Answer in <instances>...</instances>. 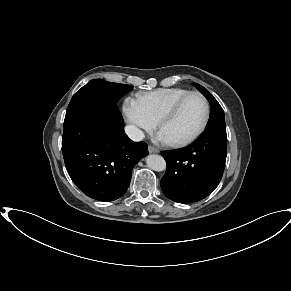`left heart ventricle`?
I'll use <instances>...</instances> for the list:
<instances>
[{
  "label": "left heart ventricle",
  "mask_w": 291,
  "mask_h": 291,
  "mask_svg": "<svg viewBox=\"0 0 291 291\" xmlns=\"http://www.w3.org/2000/svg\"><path fill=\"white\" fill-rule=\"evenodd\" d=\"M204 114V101L199 96H192L184 103L177 116L165 124L160 132L168 141L187 138L199 128Z\"/></svg>",
  "instance_id": "b2bd125f"
}]
</instances>
